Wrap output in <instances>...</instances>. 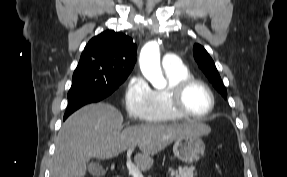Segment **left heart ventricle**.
Segmentation results:
<instances>
[{"label":"left heart ventricle","instance_id":"obj_1","mask_svg":"<svg viewBox=\"0 0 287 177\" xmlns=\"http://www.w3.org/2000/svg\"><path fill=\"white\" fill-rule=\"evenodd\" d=\"M210 103L209 94L199 85L191 86L186 91L183 101L186 110L194 115L205 114L209 110Z\"/></svg>","mask_w":287,"mask_h":177}]
</instances>
